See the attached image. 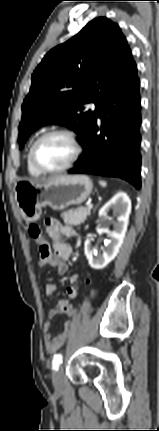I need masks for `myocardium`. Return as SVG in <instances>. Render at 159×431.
Wrapping results in <instances>:
<instances>
[{"label": "myocardium", "instance_id": "obj_1", "mask_svg": "<svg viewBox=\"0 0 159 431\" xmlns=\"http://www.w3.org/2000/svg\"><path fill=\"white\" fill-rule=\"evenodd\" d=\"M55 135H63L66 136L73 147V155L70 158V160L62 167L57 168V169H47L42 167L36 160V148L37 146L46 138L51 137V136H55ZM82 153V147H81V143L79 141L78 136L76 135V133L70 129H66V128H55V129H51L45 133H43L42 135H40L31 145L30 148V160L32 165L42 174H57V173H62L65 172L66 170L70 169L79 159L80 155Z\"/></svg>", "mask_w": 159, "mask_h": 431}]
</instances>
